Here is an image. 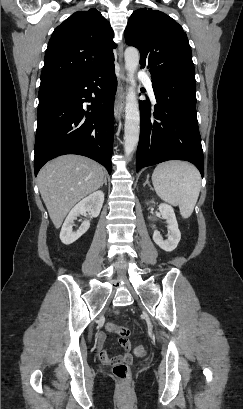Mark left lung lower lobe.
<instances>
[{"label": "left lung lower lobe", "mask_w": 243, "mask_h": 409, "mask_svg": "<svg viewBox=\"0 0 243 409\" xmlns=\"http://www.w3.org/2000/svg\"><path fill=\"white\" fill-rule=\"evenodd\" d=\"M156 106L140 101L136 171L167 160H186L204 173L196 116L195 73L175 71L152 79Z\"/></svg>", "instance_id": "0a47b994"}]
</instances>
